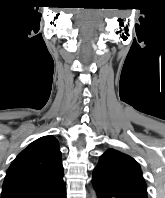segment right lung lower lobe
<instances>
[{"label":"right lung lower lobe","mask_w":165,"mask_h":198,"mask_svg":"<svg viewBox=\"0 0 165 198\" xmlns=\"http://www.w3.org/2000/svg\"><path fill=\"white\" fill-rule=\"evenodd\" d=\"M55 198H66V189L59 193Z\"/></svg>","instance_id":"98d812e1"}]
</instances>
